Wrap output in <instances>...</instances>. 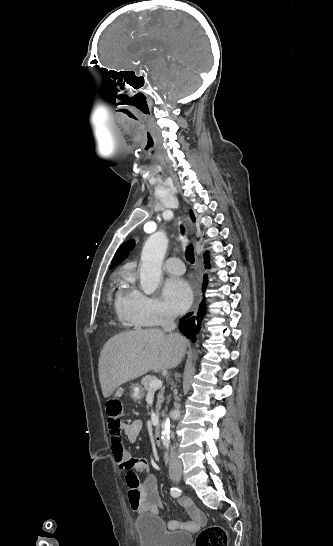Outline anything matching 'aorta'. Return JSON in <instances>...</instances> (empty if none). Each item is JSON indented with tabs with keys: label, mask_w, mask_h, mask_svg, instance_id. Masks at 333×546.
I'll list each match as a JSON object with an SVG mask.
<instances>
[{
	"label": "aorta",
	"mask_w": 333,
	"mask_h": 546,
	"mask_svg": "<svg viewBox=\"0 0 333 546\" xmlns=\"http://www.w3.org/2000/svg\"><path fill=\"white\" fill-rule=\"evenodd\" d=\"M168 240L163 231L152 234L146 241L141 254L140 285L146 294H152L161 280V267L165 257ZM161 441L168 450L170 445V420L162 423Z\"/></svg>",
	"instance_id": "obj_1"
}]
</instances>
